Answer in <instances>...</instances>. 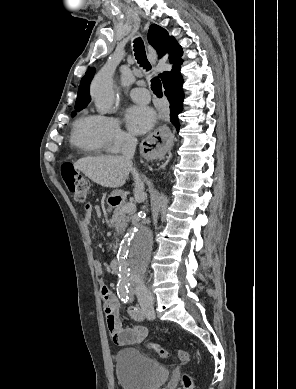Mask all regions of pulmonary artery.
<instances>
[{"label": "pulmonary artery", "instance_id": "obj_1", "mask_svg": "<svg viewBox=\"0 0 296 389\" xmlns=\"http://www.w3.org/2000/svg\"><path fill=\"white\" fill-rule=\"evenodd\" d=\"M130 97L138 103L146 104L150 101V95L147 89L142 87L133 88L130 91Z\"/></svg>", "mask_w": 296, "mask_h": 389}]
</instances>
